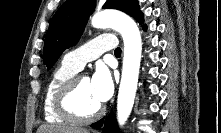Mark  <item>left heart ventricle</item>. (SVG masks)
Wrapping results in <instances>:
<instances>
[{
	"label": "left heart ventricle",
	"mask_w": 221,
	"mask_h": 133,
	"mask_svg": "<svg viewBox=\"0 0 221 133\" xmlns=\"http://www.w3.org/2000/svg\"><path fill=\"white\" fill-rule=\"evenodd\" d=\"M101 105L95 98L91 81L88 77H83L79 82L78 88L74 96V107L76 111L82 116L93 114Z\"/></svg>",
	"instance_id": "b2bd125f"
}]
</instances>
